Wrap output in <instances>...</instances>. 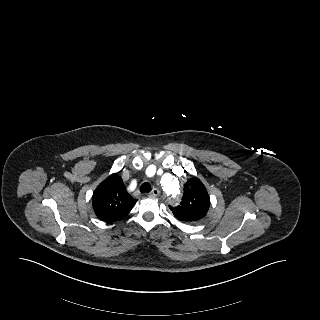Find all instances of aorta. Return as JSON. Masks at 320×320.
Returning a JSON list of instances; mask_svg holds the SVG:
<instances>
[{
	"instance_id": "762f6f07",
	"label": "aorta",
	"mask_w": 320,
	"mask_h": 320,
	"mask_svg": "<svg viewBox=\"0 0 320 320\" xmlns=\"http://www.w3.org/2000/svg\"><path fill=\"white\" fill-rule=\"evenodd\" d=\"M162 186L172 204L178 205L181 201L180 188L173 176L165 175L162 178Z\"/></svg>"
}]
</instances>
